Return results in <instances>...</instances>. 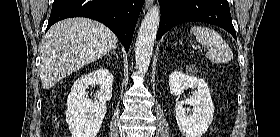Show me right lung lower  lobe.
<instances>
[{
    "mask_svg": "<svg viewBox=\"0 0 280 137\" xmlns=\"http://www.w3.org/2000/svg\"><path fill=\"white\" fill-rule=\"evenodd\" d=\"M144 0H54L47 29L69 17H87L110 28L128 52Z\"/></svg>",
    "mask_w": 280,
    "mask_h": 137,
    "instance_id": "1",
    "label": "right lung lower lobe"
}]
</instances>
